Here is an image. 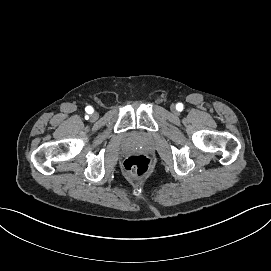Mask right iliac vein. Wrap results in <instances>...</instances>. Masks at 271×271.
Instances as JSON below:
<instances>
[{
    "label": "right iliac vein",
    "mask_w": 271,
    "mask_h": 271,
    "mask_svg": "<svg viewBox=\"0 0 271 271\" xmlns=\"http://www.w3.org/2000/svg\"><path fill=\"white\" fill-rule=\"evenodd\" d=\"M91 120L95 121L98 119V113L96 111H93L90 116Z\"/></svg>",
    "instance_id": "obj_1"
}]
</instances>
